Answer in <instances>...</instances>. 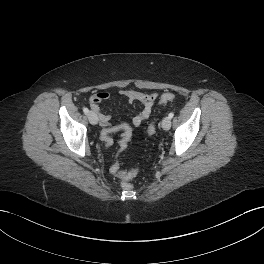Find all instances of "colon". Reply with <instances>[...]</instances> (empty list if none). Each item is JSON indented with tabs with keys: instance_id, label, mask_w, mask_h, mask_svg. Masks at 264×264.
I'll return each mask as SVG.
<instances>
[{
	"instance_id": "1",
	"label": "colon",
	"mask_w": 264,
	"mask_h": 264,
	"mask_svg": "<svg viewBox=\"0 0 264 264\" xmlns=\"http://www.w3.org/2000/svg\"><path fill=\"white\" fill-rule=\"evenodd\" d=\"M175 99V95L173 93H164L160 97V103L161 104H167ZM155 132V127L153 123H150L148 126V133L152 135ZM112 132L111 131H102L101 133V139L106 147H110L113 144L112 139ZM122 136V135H121ZM131 138V133L127 130L123 131V144L127 147L129 141ZM138 173L137 169L130 170L128 172H123L120 170H117L115 175H117L121 180V187L124 190H131L133 188L132 184L129 183V180L134 178Z\"/></svg>"
}]
</instances>
